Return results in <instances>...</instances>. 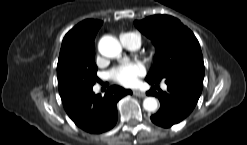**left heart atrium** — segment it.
I'll return each mask as SVG.
<instances>
[{
    "label": "left heart atrium",
    "instance_id": "1",
    "mask_svg": "<svg viewBox=\"0 0 247 145\" xmlns=\"http://www.w3.org/2000/svg\"><path fill=\"white\" fill-rule=\"evenodd\" d=\"M143 75L142 68L137 64H127L113 69L110 72V78L123 86L135 85Z\"/></svg>",
    "mask_w": 247,
    "mask_h": 145
}]
</instances>
